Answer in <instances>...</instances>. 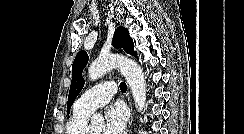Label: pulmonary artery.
<instances>
[{"instance_id": "pulmonary-artery-1", "label": "pulmonary artery", "mask_w": 244, "mask_h": 134, "mask_svg": "<svg viewBox=\"0 0 244 134\" xmlns=\"http://www.w3.org/2000/svg\"><path fill=\"white\" fill-rule=\"evenodd\" d=\"M116 92V85L112 81L100 83L87 90L75 102L74 108L77 111L91 114L99 107L107 104Z\"/></svg>"}]
</instances>
